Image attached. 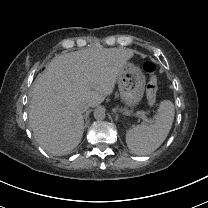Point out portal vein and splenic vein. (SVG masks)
Instances as JSON below:
<instances>
[{"instance_id":"18ae733b","label":"portal vein and splenic vein","mask_w":208,"mask_h":208,"mask_svg":"<svg viewBox=\"0 0 208 208\" xmlns=\"http://www.w3.org/2000/svg\"><path fill=\"white\" fill-rule=\"evenodd\" d=\"M119 111L120 112H123L124 111V108L123 107H120L119 108ZM130 117L131 118H136V117H141L143 119L144 122L146 123H150V124H154V120L151 119V120H147V116L144 112H136V113H131L130 114Z\"/></svg>"}]
</instances>
